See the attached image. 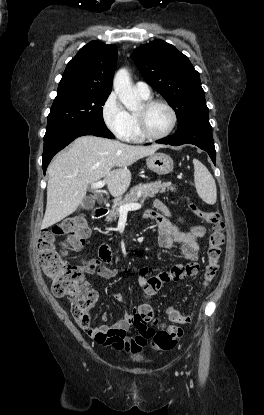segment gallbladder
<instances>
[{"mask_svg":"<svg viewBox=\"0 0 264 415\" xmlns=\"http://www.w3.org/2000/svg\"><path fill=\"white\" fill-rule=\"evenodd\" d=\"M95 205V201L91 197H85L81 203L80 208L92 209Z\"/></svg>","mask_w":264,"mask_h":415,"instance_id":"1","label":"gallbladder"}]
</instances>
